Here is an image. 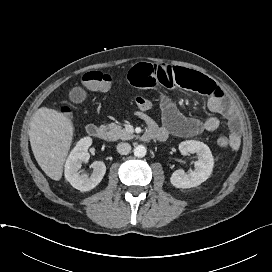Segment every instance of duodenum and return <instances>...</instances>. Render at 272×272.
<instances>
[{"label":"duodenum","instance_id":"duodenum-1","mask_svg":"<svg viewBox=\"0 0 272 272\" xmlns=\"http://www.w3.org/2000/svg\"><path fill=\"white\" fill-rule=\"evenodd\" d=\"M86 133L93 138L100 139V140H105L107 139V131L102 128L101 126H98L96 124H89L86 127ZM156 137V134L153 131H146L142 135V140L143 141H150Z\"/></svg>","mask_w":272,"mask_h":272}]
</instances>
